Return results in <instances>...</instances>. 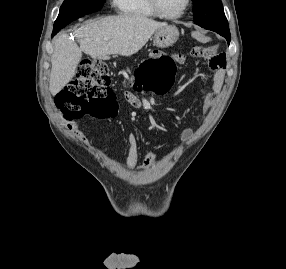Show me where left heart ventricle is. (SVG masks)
<instances>
[{
	"instance_id": "b2bd125f",
	"label": "left heart ventricle",
	"mask_w": 286,
	"mask_h": 269,
	"mask_svg": "<svg viewBox=\"0 0 286 269\" xmlns=\"http://www.w3.org/2000/svg\"><path fill=\"white\" fill-rule=\"evenodd\" d=\"M186 0H159L161 8L168 14H177L179 13L184 5Z\"/></svg>"
}]
</instances>
